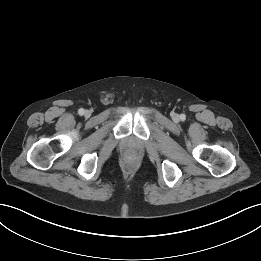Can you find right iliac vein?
Instances as JSON below:
<instances>
[{"label": "right iliac vein", "instance_id": "right-iliac-vein-1", "mask_svg": "<svg viewBox=\"0 0 261 261\" xmlns=\"http://www.w3.org/2000/svg\"><path fill=\"white\" fill-rule=\"evenodd\" d=\"M85 115L88 116V115H89V111H86V112H85Z\"/></svg>", "mask_w": 261, "mask_h": 261}]
</instances>
